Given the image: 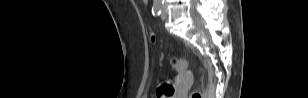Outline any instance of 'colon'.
Listing matches in <instances>:
<instances>
[{"label":"colon","mask_w":308,"mask_h":98,"mask_svg":"<svg viewBox=\"0 0 308 98\" xmlns=\"http://www.w3.org/2000/svg\"><path fill=\"white\" fill-rule=\"evenodd\" d=\"M152 41H154V37L152 36ZM171 67L174 71L176 72H184L187 69V62L184 59L180 58H172L170 60ZM174 93V87L171 82H165L162 84L158 91H157V96L159 98H164V97H172ZM203 93L200 91H194L191 93L190 98H203Z\"/></svg>","instance_id":"5ec220e1"}]
</instances>
